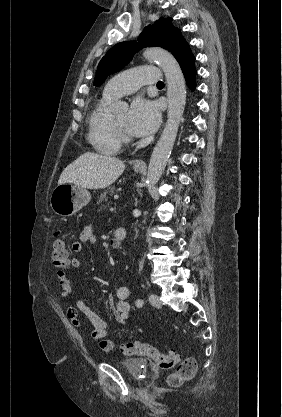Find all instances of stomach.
Returning <instances> with one entry per match:
<instances>
[{
    "label": "stomach",
    "mask_w": 282,
    "mask_h": 417,
    "mask_svg": "<svg viewBox=\"0 0 282 417\" xmlns=\"http://www.w3.org/2000/svg\"><path fill=\"white\" fill-rule=\"evenodd\" d=\"M141 170V168H135ZM91 200V194L86 188L72 184V182H63L55 186L51 192L50 204L55 215L61 217H71L78 213L82 206H86Z\"/></svg>",
    "instance_id": "0dacf381"
}]
</instances>
